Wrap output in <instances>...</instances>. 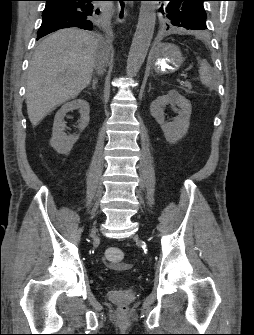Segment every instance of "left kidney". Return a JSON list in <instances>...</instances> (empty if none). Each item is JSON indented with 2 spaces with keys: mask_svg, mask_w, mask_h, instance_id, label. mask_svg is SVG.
Instances as JSON below:
<instances>
[{
  "mask_svg": "<svg viewBox=\"0 0 254 335\" xmlns=\"http://www.w3.org/2000/svg\"><path fill=\"white\" fill-rule=\"evenodd\" d=\"M178 106V116L172 122H165L164 108L166 105ZM152 117L161 125L167 142L175 144L187 133L190 125L192 106L188 99L176 90H171L167 95L159 96L150 105Z\"/></svg>",
  "mask_w": 254,
  "mask_h": 335,
  "instance_id": "5707ae66",
  "label": "left kidney"
}]
</instances>
